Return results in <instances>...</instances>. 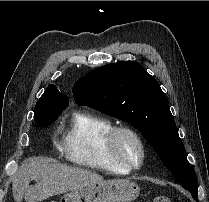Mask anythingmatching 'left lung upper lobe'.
<instances>
[{
  "label": "left lung upper lobe",
  "instance_id": "5c2ea615",
  "mask_svg": "<svg viewBox=\"0 0 209 202\" xmlns=\"http://www.w3.org/2000/svg\"><path fill=\"white\" fill-rule=\"evenodd\" d=\"M72 92L79 105H87L137 128L175 180L191 194L198 193L168 99L141 64L119 61L99 67L81 77Z\"/></svg>",
  "mask_w": 209,
  "mask_h": 202
}]
</instances>
